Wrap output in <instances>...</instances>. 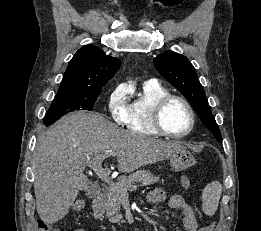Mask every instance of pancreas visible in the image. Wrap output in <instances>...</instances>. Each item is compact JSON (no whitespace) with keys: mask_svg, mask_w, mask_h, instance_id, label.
<instances>
[{"mask_svg":"<svg viewBox=\"0 0 261 231\" xmlns=\"http://www.w3.org/2000/svg\"><path fill=\"white\" fill-rule=\"evenodd\" d=\"M159 181V177L154 176L148 170H137L128 177L121 176L118 179L116 186H111L106 194L105 210L109 221L112 223H120L122 214H120L121 197L127 194V190L135 187L136 183L143 185H151Z\"/></svg>","mask_w":261,"mask_h":231,"instance_id":"obj_1","label":"pancreas"}]
</instances>
